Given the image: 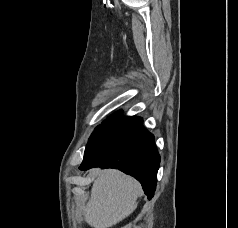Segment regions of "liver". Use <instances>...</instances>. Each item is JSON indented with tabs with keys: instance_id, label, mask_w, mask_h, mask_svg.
Returning <instances> with one entry per match:
<instances>
[{
	"instance_id": "obj_1",
	"label": "liver",
	"mask_w": 238,
	"mask_h": 228,
	"mask_svg": "<svg viewBox=\"0 0 238 228\" xmlns=\"http://www.w3.org/2000/svg\"><path fill=\"white\" fill-rule=\"evenodd\" d=\"M141 185L114 169L97 170L91 196L83 207L85 221L93 228H110L137 208Z\"/></svg>"
}]
</instances>
